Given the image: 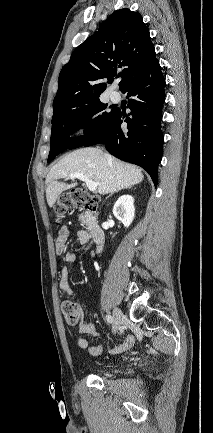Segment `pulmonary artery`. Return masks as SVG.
Wrapping results in <instances>:
<instances>
[{
    "label": "pulmonary artery",
    "instance_id": "e3ab8cb5",
    "mask_svg": "<svg viewBox=\"0 0 213 433\" xmlns=\"http://www.w3.org/2000/svg\"><path fill=\"white\" fill-rule=\"evenodd\" d=\"M110 98H111V100H112L113 102H118V101H120L121 96H120V93H119V92H117V91H113V92H111V94H110Z\"/></svg>",
    "mask_w": 213,
    "mask_h": 433
}]
</instances>
